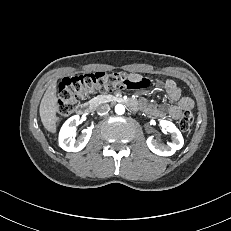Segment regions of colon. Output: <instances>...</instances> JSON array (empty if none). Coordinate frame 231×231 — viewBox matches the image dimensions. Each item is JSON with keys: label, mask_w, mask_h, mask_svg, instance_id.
Wrapping results in <instances>:
<instances>
[{"label": "colon", "mask_w": 231, "mask_h": 231, "mask_svg": "<svg viewBox=\"0 0 231 231\" xmlns=\"http://www.w3.org/2000/svg\"><path fill=\"white\" fill-rule=\"evenodd\" d=\"M150 85L147 78L139 81L125 72H94L65 78L58 88V115L70 114L78 102L94 93H106L116 89H142ZM194 121L193 114L185 111L179 120V128L188 131Z\"/></svg>", "instance_id": "obj_1"}]
</instances>
